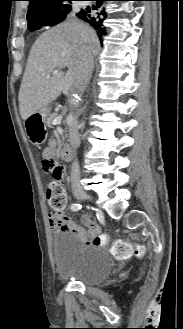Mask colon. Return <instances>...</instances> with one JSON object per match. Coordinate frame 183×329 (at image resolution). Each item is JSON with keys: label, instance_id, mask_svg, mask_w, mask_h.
<instances>
[{"label": "colon", "instance_id": "obj_1", "mask_svg": "<svg viewBox=\"0 0 183 329\" xmlns=\"http://www.w3.org/2000/svg\"><path fill=\"white\" fill-rule=\"evenodd\" d=\"M43 170L52 177L48 185L47 196L50 207L56 214H62L67 205V194L62 182V168L56 164L52 156H44L42 161ZM93 243L97 246H112V251L117 256H127L132 252L129 244L122 241L112 242L107 235H96ZM137 256L144 254V247L137 246L134 249Z\"/></svg>", "mask_w": 183, "mask_h": 329}]
</instances>
